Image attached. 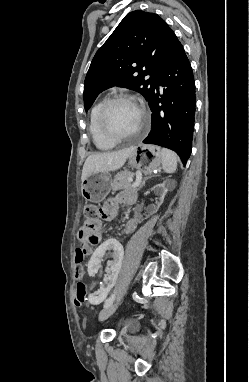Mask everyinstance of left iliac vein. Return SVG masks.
I'll return each mask as SVG.
<instances>
[{"instance_id": "left-iliac-vein-1", "label": "left iliac vein", "mask_w": 249, "mask_h": 382, "mask_svg": "<svg viewBox=\"0 0 249 382\" xmlns=\"http://www.w3.org/2000/svg\"><path fill=\"white\" fill-rule=\"evenodd\" d=\"M119 303L111 304L108 307L104 308L100 313H99V319L100 320H105L108 317H110L118 308Z\"/></svg>"}]
</instances>
